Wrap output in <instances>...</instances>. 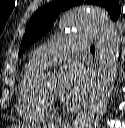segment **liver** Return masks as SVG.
<instances>
[{"instance_id": "liver-1", "label": "liver", "mask_w": 125, "mask_h": 128, "mask_svg": "<svg viewBox=\"0 0 125 128\" xmlns=\"http://www.w3.org/2000/svg\"><path fill=\"white\" fill-rule=\"evenodd\" d=\"M12 128H24V126H21V125H16V126H13ZM49 128H54V126H49Z\"/></svg>"}]
</instances>
